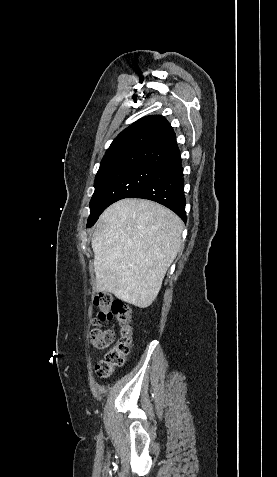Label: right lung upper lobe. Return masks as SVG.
<instances>
[{"mask_svg":"<svg viewBox=\"0 0 277 477\" xmlns=\"http://www.w3.org/2000/svg\"><path fill=\"white\" fill-rule=\"evenodd\" d=\"M176 136L160 115L146 116L123 130L104 155L98 173L129 164L160 167L178 155Z\"/></svg>","mask_w":277,"mask_h":477,"instance_id":"right-lung-upper-lobe-1","label":"right lung upper lobe"}]
</instances>
